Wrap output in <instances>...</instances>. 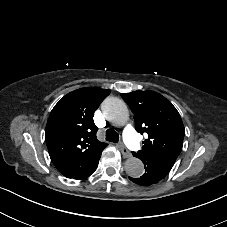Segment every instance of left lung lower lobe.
I'll list each match as a JSON object with an SVG mask.
<instances>
[{
	"label": "left lung lower lobe",
	"instance_id": "obj_1",
	"mask_svg": "<svg viewBox=\"0 0 227 227\" xmlns=\"http://www.w3.org/2000/svg\"><path fill=\"white\" fill-rule=\"evenodd\" d=\"M165 176L154 168H146V172L140 178L129 177L131 181L138 185L149 186L158 183Z\"/></svg>",
	"mask_w": 227,
	"mask_h": 227
}]
</instances>
